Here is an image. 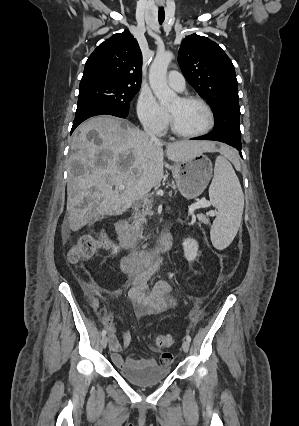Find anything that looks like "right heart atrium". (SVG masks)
<instances>
[{
	"mask_svg": "<svg viewBox=\"0 0 299 426\" xmlns=\"http://www.w3.org/2000/svg\"><path fill=\"white\" fill-rule=\"evenodd\" d=\"M137 116L143 127L153 133L162 134L169 122L167 112L159 105L149 89H142L137 99Z\"/></svg>",
	"mask_w": 299,
	"mask_h": 426,
	"instance_id": "obj_1",
	"label": "right heart atrium"
}]
</instances>
